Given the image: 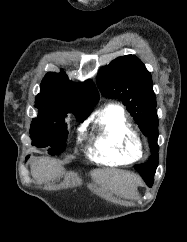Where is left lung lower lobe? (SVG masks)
Masks as SVG:
<instances>
[{
    "label": "left lung lower lobe",
    "mask_w": 187,
    "mask_h": 242,
    "mask_svg": "<svg viewBox=\"0 0 187 242\" xmlns=\"http://www.w3.org/2000/svg\"><path fill=\"white\" fill-rule=\"evenodd\" d=\"M146 182V184L151 187L153 185V180H154V177H144L143 178Z\"/></svg>",
    "instance_id": "1"
}]
</instances>
